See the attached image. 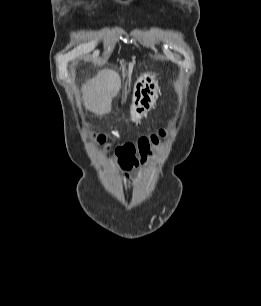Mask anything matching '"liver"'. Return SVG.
<instances>
[{
  "instance_id": "liver-1",
  "label": "liver",
  "mask_w": 261,
  "mask_h": 306,
  "mask_svg": "<svg viewBox=\"0 0 261 306\" xmlns=\"http://www.w3.org/2000/svg\"><path fill=\"white\" fill-rule=\"evenodd\" d=\"M120 89L121 79L117 72L111 69L100 71L83 86L85 107L99 116L110 113L112 99Z\"/></svg>"
}]
</instances>
